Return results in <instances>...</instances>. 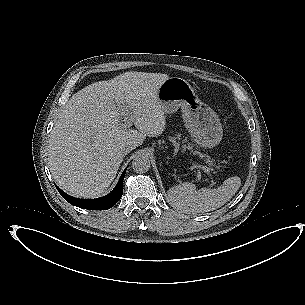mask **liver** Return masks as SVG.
<instances>
[{"label": "liver", "mask_w": 305, "mask_h": 305, "mask_svg": "<svg viewBox=\"0 0 305 305\" xmlns=\"http://www.w3.org/2000/svg\"><path fill=\"white\" fill-rule=\"evenodd\" d=\"M161 74L153 88L121 78L95 82L75 93L63 107L48 140L53 179L69 194L96 198L116 177L125 154L124 143L141 145L166 127L157 99ZM128 117L137 130L128 129Z\"/></svg>", "instance_id": "obj_1"}]
</instances>
